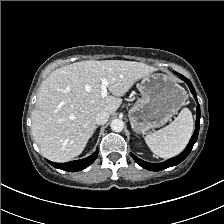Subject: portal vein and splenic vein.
Returning a JSON list of instances; mask_svg holds the SVG:
<instances>
[{"instance_id":"18ae733b","label":"portal vein and splenic vein","mask_w":224,"mask_h":224,"mask_svg":"<svg viewBox=\"0 0 224 224\" xmlns=\"http://www.w3.org/2000/svg\"><path fill=\"white\" fill-rule=\"evenodd\" d=\"M109 85V82L107 81V79L103 78L102 79V83H101V96L102 97H106L107 96V87Z\"/></svg>"}]
</instances>
